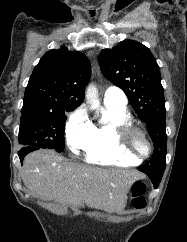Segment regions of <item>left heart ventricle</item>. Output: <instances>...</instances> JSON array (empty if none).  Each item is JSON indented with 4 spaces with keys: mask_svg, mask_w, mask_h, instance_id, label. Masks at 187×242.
Returning a JSON list of instances; mask_svg holds the SVG:
<instances>
[{
    "mask_svg": "<svg viewBox=\"0 0 187 242\" xmlns=\"http://www.w3.org/2000/svg\"><path fill=\"white\" fill-rule=\"evenodd\" d=\"M129 146L131 150L139 156L145 155L148 151L146 141L140 134H132L129 138Z\"/></svg>",
    "mask_w": 187,
    "mask_h": 242,
    "instance_id": "b2bd125f",
    "label": "left heart ventricle"
}]
</instances>
